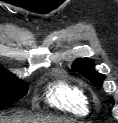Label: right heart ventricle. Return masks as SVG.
Instances as JSON below:
<instances>
[{
    "mask_svg": "<svg viewBox=\"0 0 118 123\" xmlns=\"http://www.w3.org/2000/svg\"><path fill=\"white\" fill-rule=\"evenodd\" d=\"M46 102L61 111L85 117L91 113V100L84 87L68 78L53 81L46 92Z\"/></svg>",
    "mask_w": 118,
    "mask_h": 123,
    "instance_id": "1",
    "label": "right heart ventricle"
}]
</instances>
